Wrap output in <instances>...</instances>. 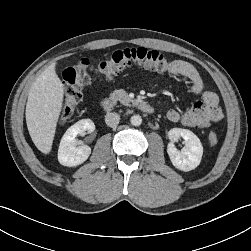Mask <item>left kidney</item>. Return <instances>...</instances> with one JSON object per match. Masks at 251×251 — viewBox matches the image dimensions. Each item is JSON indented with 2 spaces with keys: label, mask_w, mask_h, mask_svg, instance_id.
<instances>
[{
  "label": "left kidney",
  "mask_w": 251,
  "mask_h": 251,
  "mask_svg": "<svg viewBox=\"0 0 251 251\" xmlns=\"http://www.w3.org/2000/svg\"><path fill=\"white\" fill-rule=\"evenodd\" d=\"M170 143L167 146V152L172 164L181 171H190L195 169L201 162L203 155V146L200 139L190 130L173 128L168 132ZM178 138H183L185 146L181 151L177 150L174 142Z\"/></svg>",
  "instance_id": "obj_1"
}]
</instances>
